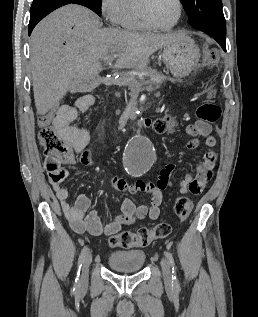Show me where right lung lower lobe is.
I'll return each instance as SVG.
<instances>
[{"mask_svg":"<svg viewBox=\"0 0 258 317\" xmlns=\"http://www.w3.org/2000/svg\"><path fill=\"white\" fill-rule=\"evenodd\" d=\"M70 3L83 5L99 15L90 0H34L30 8L29 35L35 25L46 15L53 10Z\"/></svg>","mask_w":258,"mask_h":317,"instance_id":"right-lung-lower-lobe-1","label":"right lung lower lobe"}]
</instances>
